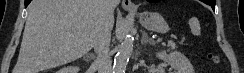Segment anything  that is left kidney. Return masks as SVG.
I'll return each instance as SVG.
<instances>
[{
	"label": "left kidney",
	"mask_w": 244,
	"mask_h": 73,
	"mask_svg": "<svg viewBox=\"0 0 244 73\" xmlns=\"http://www.w3.org/2000/svg\"><path fill=\"white\" fill-rule=\"evenodd\" d=\"M156 56L170 64L174 69V73H194V68L188 58L178 51L170 52L162 51L156 54Z\"/></svg>",
	"instance_id": "obj_1"
}]
</instances>
